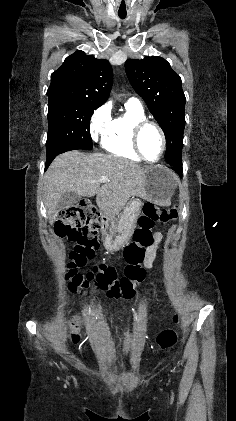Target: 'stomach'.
Returning a JSON list of instances; mask_svg holds the SVG:
<instances>
[{"label":"stomach","mask_w":236,"mask_h":421,"mask_svg":"<svg viewBox=\"0 0 236 421\" xmlns=\"http://www.w3.org/2000/svg\"><path fill=\"white\" fill-rule=\"evenodd\" d=\"M175 184L172 174L165 166H147L146 192L147 200L155 204H164L170 200ZM143 202L140 198H130L117 219L106 217L108 227L104 237V247L107 251H120L128 245L137 227Z\"/></svg>","instance_id":"stomach-1"}]
</instances>
